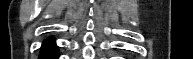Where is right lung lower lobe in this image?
Returning <instances> with one entry per match:
<instances>
[{"label": "right lung lower lobe", "mask_w": 193, "mask_h": 59, "mask_svg": "<svg viewBox=\"0 0 193 59\" xmlns=\"http://www.w3.org/2000/svg\"><path fill=\"white\" fill-rule=\"evenodd\" d=\"M58 51L53 39L46 40L43 43L39 59H57Z\"/></svg>", "instance_id": "98d812e1"}]
</instances>
